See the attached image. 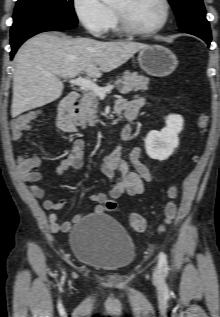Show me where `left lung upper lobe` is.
I'll use <instances>...</instances> for the list:
<instances>
[{"label":"left lung upper lobe","mask_w":220,"mask_h":317,"mask_svg":"<svg viewBox=\"0 0 220 317\" xmlns=\"http://www.w3.org/2000/svg\"><path fill=\"white\" fill-rule=\"evenodd\" d=\"M169 2L175 11L180 28L193 24L209 27L202 0H169Z\"/></svg>","instance_id":"left-lung-upper-lobe-1"}]
</instances>
